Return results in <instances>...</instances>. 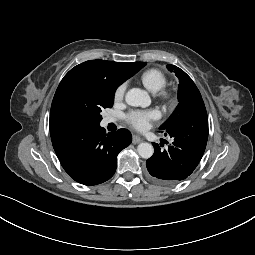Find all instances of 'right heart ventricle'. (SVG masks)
Instances as JSON below:
<instances>
[{
  "label": "right heart ventricle",
  "instance_id": "e07e8e85",
  "mask_svg": "<svg viewBox=\"0 0 255 255\" xmlns=\"http://www.w3.org/2000/svg\"><path fill=\"white\" fill-rule=\"evenodd\" d=\"M140 82L152 93H157L167 84L166 76L158 69L150 68L140 75Z\"/></svg>",
  "mask_w": 255,
  "mask_h": 255
}]
</instances>
